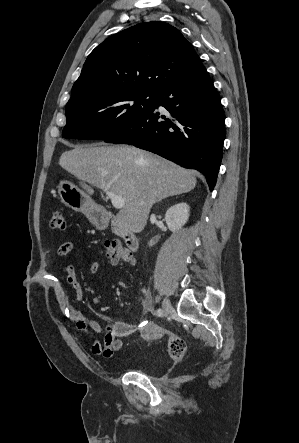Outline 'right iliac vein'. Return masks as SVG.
<instances>
[{"instance_id": "1", "label": "right iliac vein", "mask_w": 299, "mask_h": 443, "mask_svg": "<svg viewBox=\"0 0 299 443\" xmlns=\"http://www.w3.org/2000/svg\"><path fill=\"white\" fill-rule=\"evenodd\" d=\"M162 311L164 315H168L172 311L171 303L167 298L163 300Z\"/></svg>"}]
</instances>
